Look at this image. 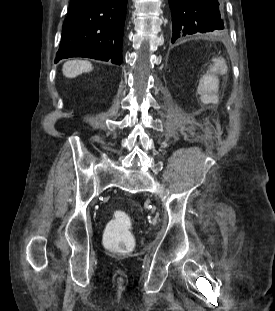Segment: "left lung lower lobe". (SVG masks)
<instances>
[{"mask_svg": "<svg viewBox=\"0 0 275 311\" xmlns=\"http://www.w3.org/2000/svg\"><path fill=\"white\" fill-rule=\"evenodd\" d=\"M172 43L192 34H217L225 29L219 0H170Z\"/></svg>", "mask_w": 275, "mask_h": 311, "instance_id": "left-lung-lower-lobe-1", "label": "left lung lower lobe"}]
</instances>
